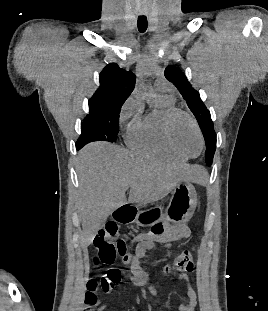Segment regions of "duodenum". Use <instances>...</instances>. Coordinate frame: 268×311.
<instances>
[{
  "label": "duodenum",
  "instance_id": "410a0bca",
  "mask_svg": "<svg viewBox=\"0 0 268 311\" xmlns=\"http://www.w3.org/2000/svg\"><path fill=\"white\" fill-rule=\"evenodd\" d=\"M134 213V207L130 204H125L116 209L114 212V217L118 222L126 223L130 218L133 217Z\"/></svg>",
  "mask_w": 268,
  "mask_h": 311
}]
</instances>
